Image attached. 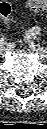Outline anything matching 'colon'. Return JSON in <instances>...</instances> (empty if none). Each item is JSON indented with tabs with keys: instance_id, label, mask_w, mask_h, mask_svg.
<instances>
[{
	"instance_id": "colon-1",
	"label": "colon",
	"mask_w": 47,
	"mask_h": 129,
	"mask_svg": "<svg viewBox=\"0 0 47 129\" xmlns=\"http://www.w3.org/2000/svg\"><path fill=\"white\" fill-rule=\"evenodd\" d=\"M26 4L35 14H38L47 8V0H26ZM0 16L4 24L9 25L10 6L7 3L0 4Z\"/></svg>"
}]
</instances>
